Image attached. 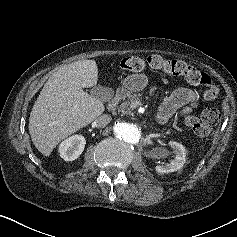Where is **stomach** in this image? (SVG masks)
<instances>
[{"instance_id": "1", "label": "stomach", "mask_w": 237, "mask_h": 237, "mask_svg": "<svg viewBox=\"0 0 237 237\" xmlns=\"http://www.w3.org/2000/svg\"><path fill=\"white\" fill-rule=\"evenodd\" d=\"M146 84H147L146 76L143 74L129 75L122 82L123 87L129 93L137 92L144 89Z\"/></svg>"}]
</instances>
